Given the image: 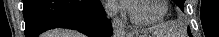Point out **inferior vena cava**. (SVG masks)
Here are the masks:
<instances>
[{
    "instance_id": "602c4592",
    "label": "inferior vena cava",
    "mask_w": 219,
    "mask_h": 37,
    "mask_svg": "<svg viewBox=\"0 0 219 37\" xmlns=\"http://www.w3.org/2000/svg\"><path fill=\"white\" fill-rule=\"evenodd\" d=\"M105 12L108 18H112L117 13V7L109 5L105 7Z\"/></svg>"
}]
</instances>
